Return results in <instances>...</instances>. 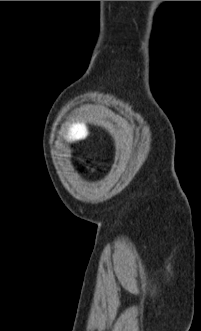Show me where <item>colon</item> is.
I'll use <instances>...</instances> for the list:
<instances>
[{
    "label": "colon",
    "instance_id": "obj_1",
    "mask_svg": "<svg viewBox=\"0 0 201 331\" xmlns=\"http://www.w3.org/2000/svg\"><path fill=\"white\" fill-rule=\"evenodd\" d=\"M65 134L69 141H80L86 137L87 130L81 119H71L65 125Z\"/></svg>",
    "mask_w": 201,
    "mask_h": 331
}]
</instances>
